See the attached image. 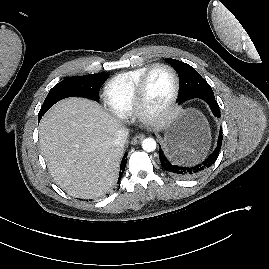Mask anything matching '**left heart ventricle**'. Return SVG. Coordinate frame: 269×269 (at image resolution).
Returning <instances> with one entry per match:
<instances>
[{"mask_svg": "<svg viewBox=\"0 0 269 269\" xmlns=\"http://www.w3.org/2000/svg\"><path fill=\"white\" fill-rule=\"evenodd\" d=\"M173 85V77L167 69H154L146 84L145 100L147 107L151 110L161 108L169 99Z\"/></svg>", "mask_w": 269, "mask_h": 269, "instance_id": "obj_1", "label": "left heart ventricle"}]
</instances>
